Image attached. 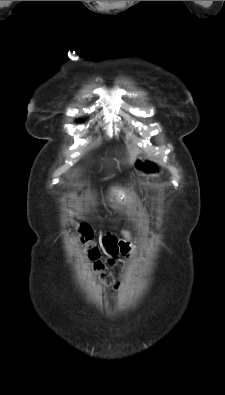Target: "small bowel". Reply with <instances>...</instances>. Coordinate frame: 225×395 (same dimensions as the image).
<instances>
[{"label": "small bowel", "mask_w": 225, "mask_h": 395, "mask_svg": "<svg viewBox=\"0 0 225 395\" xmlns=\"http://www.w3.org/2000/svg\"><path fill=\"white\" fill-rule=\"evenodd\" d=\"M103 247L112 262L118 255L129 256L131 245L127 241L118 240L113 235H107L103 239Z\"/></svg>", "instance_id": "small-bowel-1"}]
</instances>
